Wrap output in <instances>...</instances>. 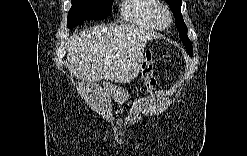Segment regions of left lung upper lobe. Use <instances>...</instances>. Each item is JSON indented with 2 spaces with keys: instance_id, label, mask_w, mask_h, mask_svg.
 <instances>
[{
  "instance_id": "obj_1",
  "label": "left lung upper lobe",
  "mask_w": 247,
  "mask_h": 156,
  "mask_svg": "<svg viewBox=\"0 0 247 156\" xmlns=\"http://www.w3.org/2000/svg\"><path fill=\"white\" fill-rule=\"evenodd\" d=\"M167 2L175 16L176 26L180 35V39L185 45V49L187 50L189 56H193L192 43L187 36V26L185 25L181 14L182 0H167Z\"/></svg>"
}]
</instances>
